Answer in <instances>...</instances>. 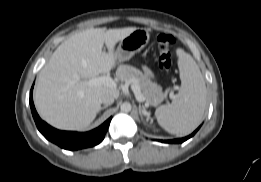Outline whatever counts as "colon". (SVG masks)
I'll return each mask as SVG.
<instances>
[{
  "label": "colon",
  "mask_w": 261,
  "mask_h": 182,
  "mask_svg": "<svg viewBox=\"0 0 261 182\" xmlns=\"http://www.w3.org/2000/svg\"><path fill=\"white\" fill-rule=\"evenodd\" d=\"M158 47V63L161 69L168 70L171 67V48L175 39L171 34L159 33L156 37Z\"/></svg>",
  "instance_id": "obj_1"
}]
</instances>
